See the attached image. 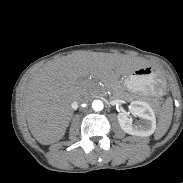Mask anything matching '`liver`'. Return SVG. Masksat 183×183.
Returning <instances> with one entry per match:
<instances>
[{"label":"liver","instance_id":"liver-1","mask_svg":"<svg viewBox=\"0 0 183 183\" xmlns=\"http://www.w3.org/2000/svg\"><path fill=\"white\" fill-rule=\"evenodd\" d=\"M146 64L128 55L87 51L46 63L30 76L23 96L31 134L43 145L61 140L73 116L71 103L87 91L85 77L107 81Z\"/></svg>","mask_w":183,"mask_h":183}]
</instances>
